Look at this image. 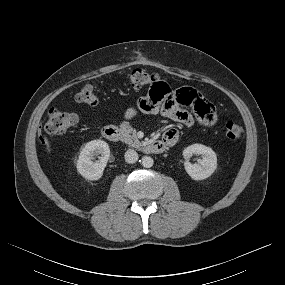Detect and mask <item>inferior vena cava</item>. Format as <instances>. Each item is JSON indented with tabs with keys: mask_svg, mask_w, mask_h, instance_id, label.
I'll use <instances>...</instances> for the list:
<instances>
[{
	"mask_svg": "<svg viewBox=\"0 0 285 285\" xmlns=\"http://www.w3.org/2000/svg\"><path fill=\"white\" fill-rule=\"evenodd\" d=\"M138 160V154L135 150L129 149L125 152V161L127 163H135Z\"/></svg>",
	"mask_w": 285,
	"mask_h": 285,
	"instance_id": "inferior-vena-cava-1",
	"label": "inferior vena cava"
}]
</instances>
